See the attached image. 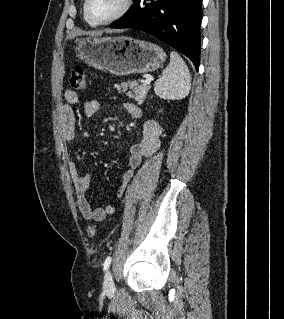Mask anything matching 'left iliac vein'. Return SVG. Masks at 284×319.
<instances>
[{
    "instance_id": "obj_1",
    "label": "left iliac vein",
    "mask_w": 284,
    "mask_h": 319,
    "mask_svg": "<svg viewBox=\"0 0 284 319\" xmlns=\"http://www.w3.org/2000/svg\"><path fill=\"white\" fill-rule=\"evenodd\" d=\"M103 289L107 293H113L115 290L113 277H112L111 271L109 270L104 275Z\"/></svg>"
}]
</instances>
